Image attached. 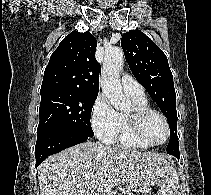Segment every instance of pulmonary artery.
I'll use <instances>...</instances> for the list:
<instances>
[{"instance_id": "pulmonary-artery-1", "label": "pulmonary artery", "mask_w": 211, "mask_h": 195, "mask_svg": "<svg viewBox=\"0 0 211 195\" xmlns=\"http://www.w3.org/2000/svg\"><path fill=\"white\" fill-rule=\"evenodd\" d=\"M121 85L125 94L129 97L144 98L145 92L141 84L129 75H123L121 78Z\"/></svg>"}]
</instances>
